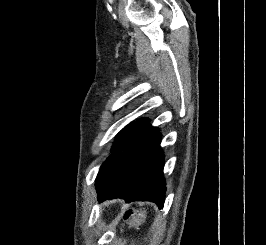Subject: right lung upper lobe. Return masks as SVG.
I'll return each mask as SVG.
<instances>
[{
	"label": "right lung upper lobe",
	"instance_id": "cb5924a9",
	"mask_svg": "<svg viewBox=\"0 0 266 245\" xmlns=\"http://www.w3.org/2000/svg\"><path fill=\"white\" fill-rule=\"evenodd\" d=\"M142 121L148 122V120H142Z\"/></svg>",
	"mask_w": 266,
	"mask_h": 245
}]
</instances>
